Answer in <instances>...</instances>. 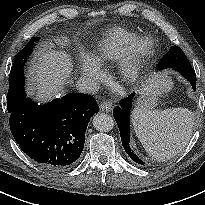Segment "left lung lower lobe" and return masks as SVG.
<instances>
[{"label":"left lung lower lobe","instance_id":"0a47b994","mask_svg":"<svg viewBox=\"0 0 205 205\" xmlns=\"http://www.w3.org/2000/svg\"><path fill=\"white\" fill-rule=\"evenodd\" d=\"M176 71L182 74L192 85L194 91H196V74L195 70L190 67H179L174 68ZM134 93L129 97L120 101V105L115 107L113 110V116L118 124L122 145L126 153L130 158L138 164L144 165V162L139 159L130 149L129 139H130V110L132 107V101L134 98Z\"/></svg>","mask_w":205,"mask_h":205}]
</instances>
